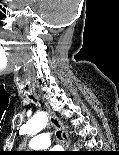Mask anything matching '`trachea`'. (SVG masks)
Masks as SVG:
<instances>
[{
  "label": "trachea",
  "mask_w": 119,
  "mask_h": 155,
  "mask_svg": "<svg viewBox=\"0 0 119 155\" xmlns=\"http://www.w3.org/2000/svg\"><path fill=\"white\" fill-rule=\"evenodd\" d=\"M56 135H57V137H58L60 140H62L61 132H60V131H58V132L56 133Z\"/></svg>",
  "instance_id": "trachea-1"
}]
</instances>
